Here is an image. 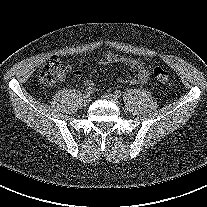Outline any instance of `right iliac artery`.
Segmentation results:
<instances>
[{"label": "right iliac artery", "instance_id": "right-iliac-artery-1", "mask_svg": "<svg viewBox=\"0 0 207 207\" xmlns=\"http://www.w3.org/2000/svg\"><path fill=\"white\" fill-rule=\"evenodd\" d=\"M92 92H93L92 88L90 87L86 88V91H85L86 94L90 95L92 94Z\"/></svg>", "mask_w": 207, "mask_h": 207}]
</instances>
